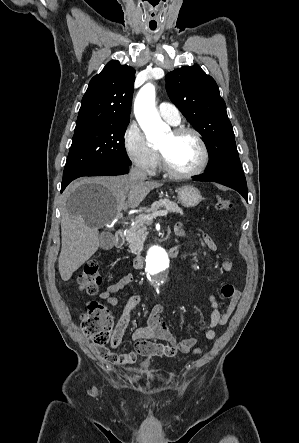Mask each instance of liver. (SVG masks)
<instances>
[{"mask_svg":"<svg viewBox=\"0 0 299 443\" xmlns=\"http://www.w3.org/2000/svg\"><path fill=\"white\" fill-rule=\"evenodd\" d=\"M82 186L83 198L75 202V190ZM162 186L157 181L131 180L130 176L83 178L64 193L61 211L62 248L59 272L68 281L99 248V228L116 214L137 208L149 192Z\"/></svg>","mask_w":299,"mask_h":443,"instance_id":"obj_1","label":"liver"}]
</instances>
